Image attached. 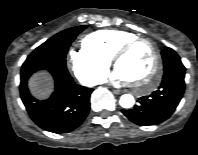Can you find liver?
<instances>
[{
  "label": "liver",
  "mask_w": 198,
  "mask_h": 155,
  "mask_svg": "<svg viewBox=\"0 0 198 155\" xmlns=\"http://www.w3.org/2000/svg\"><path fill=\"white\" fill-rule=\"evenodd\" d=\"M32 94L38 98H45L52 90L51 79L44 73L35 74L29 81Z\"/></svg>",
  "instance_id": "liver-1"
}]
</instances>
